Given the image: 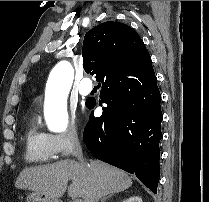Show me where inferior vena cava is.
Here are the masks:
<instances>
[{
	"instance_id": "obj_1",
	"label": "inferior vena cava",
	"mask_w": 209,
	"mask_h": 202,
	"mask_svg": "<svg viewBox=\"0 0 209 202\" xmlns=\"http://www.w3.org/2000/svg\"><path fill=\"white\" fill-rule=\"evenodd\" d=\"M73 155L80 161L82 165H85L83 154H82V149L79 143L76 144Z\"/></svg>"
}]
</instances>
